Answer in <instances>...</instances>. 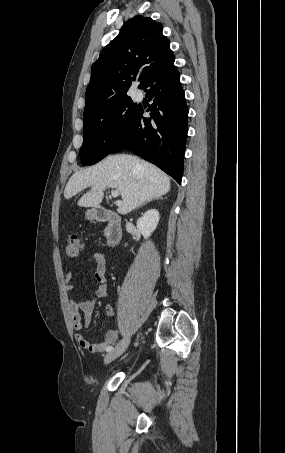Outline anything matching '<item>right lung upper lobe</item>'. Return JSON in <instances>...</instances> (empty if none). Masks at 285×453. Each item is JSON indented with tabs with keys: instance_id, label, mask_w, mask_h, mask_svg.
Segmentation results:
<instances>
[{
	"instance_id": "obj_1",
	"label": "right lung upper lobe",
	"mask_w": 285,
	"mask_h": 453,
	"mask_svg": "<svg viewBox=\"0 0 285 453\" xmlns=\"http://www.w3.org/2000/svg\"><path fill=\"white\" fill-rule=\"evenodd\" d=\"M162 30L160 23L140 15L124 24L92 65L84 113L127 95L140 70L138 88L143 89L152 77L174 66L170 41Z\"/></svg>"
}]
</instances>
